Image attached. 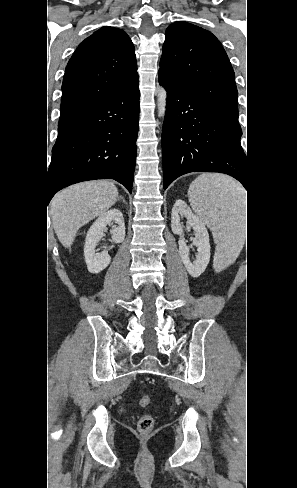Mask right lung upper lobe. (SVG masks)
Here are the masks:
<instances>
[{
    "label": "right lung upper lobe",
    "instance_id": "cb5924a9",
    "mask_svg": "<svg viewBox=\"0 0 297 488\" xmlns=\"http://www.w3.org/2000/svg\"><path fill=\"white\" fill-rule=\"evenodd\" d=\"M135 77L132 41L123 30L102 27L79 44L67 64L60 120L109 96Z\"/></svg>",
    "mask_w": 297,
    "mask_h": 488
}]
</instances>
